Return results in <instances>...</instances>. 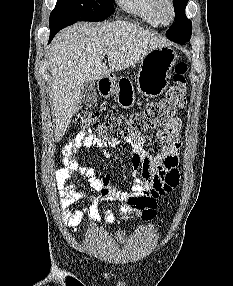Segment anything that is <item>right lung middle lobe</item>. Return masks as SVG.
Returning a JSON list of instances; mask_svg holds the SVG:
<instances>
[{"instance_id":"obj_1","label":"right lung middle lobe","mask_w":233,"mask_h":286,"mask_svg":"<svg viewBox=\"0 0 233 286\" xmlns=\"http://www.w3.org/2000/svg\"><path fill=\"white\" fill-rule=\"evenodd\" d=\"M114 11L111 0H57L49 26L77 21H103Z\"/></svg>"}]
</instances>
